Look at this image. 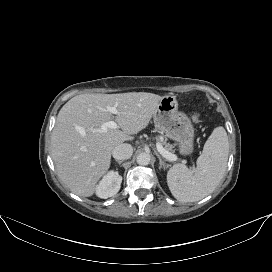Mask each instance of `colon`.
I'll list each match as a JSON object with an SVG mask.
<instances>
[{
	"mask_svg": "<svg viewBox=\"0 0 272 272\" xmlns=\"http://www.w3.org/2000/svg\"><path fill=\"white\" fill-rule=\"evenodd\" d=\"M192 118L194 121H197L199 119V114H193Z\"/></svg>",
	"mask_w": 272,
	"mask_h": 272,
	"instance_id": "obj_1",
	"label": "colon"
}]
</instances>
